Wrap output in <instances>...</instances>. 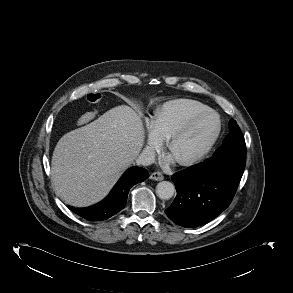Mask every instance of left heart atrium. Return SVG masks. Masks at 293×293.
<instances>
[{"label": "left heart atrium", "mask_w": 293, "mask_h": 293, "mask_svg": "<svg viewBox=\"0 0 293 293\" xmlns=\"http://www.w3.org/2000/svg\"><path fill=\"white\" fill-rule=\"evenodd\" d=\"M168 160H169V161H174V160H176V159L174 158L173 155H171V156L168 158Z\"/></svg>", "instance_id": "obj_1"}]
</instances>
